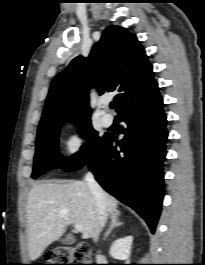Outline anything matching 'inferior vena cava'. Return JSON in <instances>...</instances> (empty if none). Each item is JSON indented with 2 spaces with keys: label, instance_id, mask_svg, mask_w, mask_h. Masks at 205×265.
Segmentation results:
<instances>
[{
  "label": "inferior vena cava",
  "instance_id": "1",
  "mask_svg": "<svg viewBox=\"0 0 205 265\" xmlns=\"http://www.w3.org/2000/svg\"><path fill=\"white\" fill-rule=\"evenodd\" d=\"M86 182L88 183L92 194L95 199L97 214H98V226L96 232L94 234V241L98 240L99 233L101 229L104 227L107 213H106V198L102 188L95 181L92 173L88 172L85 177Z\"/></svg>",
  "mask_w": 205,
  "mask_h": 265
}]
</instances>
